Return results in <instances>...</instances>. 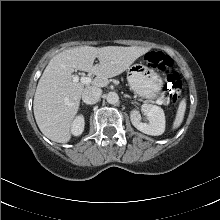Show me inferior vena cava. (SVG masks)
I'll list each match as a JSON object with an SVG mask.
<instances>
[{"label":"inferior vena cava","instance_id":"obj_1","mask_svg":"<svg viewBox=\"0 0 220 220\" xmlns=\"http://www.w3.org/2000/svg\"><path fill=\"white\" fill-rule=\"evenodd\" d=\"M102 90L97 87H87L82 93V100L86 104H95L100 100Z\"/></svg>","mask_w":220,"mask_h":220}]
</instances>
